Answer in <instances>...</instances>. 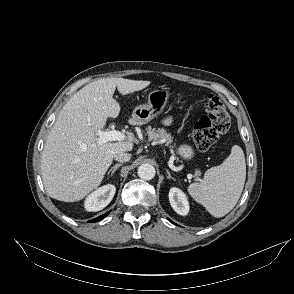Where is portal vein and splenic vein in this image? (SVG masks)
I'll return each instance as SVG.
<instances>
[{
  "label": "portal vein and splenic vein",
  "mask_w": 294,
  "mask_h": 294,
  "mask_svg": "<svg viewBox=\"0 0 294 294\" xmlns=\"http://www.w3.org/2000/svg\"><path fill=\"white\" fill-rule=\"evenodd\" d=\"M96 135L98 136V144H103L108 141H123L125 139V135L115 129H112L110 131H103L101 129H98L96 130Z\"/></svg>",
  "instance_id": "obj_1"
}]
</instances>
